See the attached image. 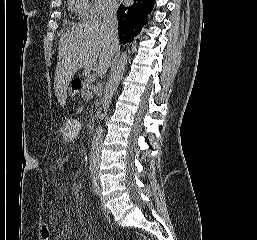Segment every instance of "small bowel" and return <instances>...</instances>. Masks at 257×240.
<instances>
[{
	"instance_id": "small-bowel-1",
	"label": "small bowel",
	"mask_w": 257,
	"mask_h": 240,
	"mask_svg": "<svg viewBox=\"0 0 257 240\" xmlns=\"http://www.w3.org/2000/svg\"><path fill=\"white\" fill-rule=\"evenodd\" d=\"M72 234L71 220L70 218H65L53 240L68 239Z\"/></svg>"
}]
</instances>
